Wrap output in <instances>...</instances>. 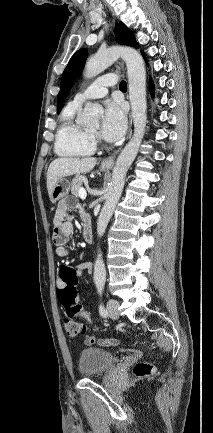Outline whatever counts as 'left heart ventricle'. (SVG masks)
Segmentation results:
<instances>
[{
	"label": "left heart ventricle",
	"instance_id": "left-heart-ventricle-1",
	"mask_svg": "<svg viewBox=\"0 0 213 433\" xmlns=\"http://www.w3.org/2000/svg\"><path fill=\"white\" fill-rule=\"evenodd\" d=\"M90 131L99 134V127L96 126V127L92 128Z\"/></svg>",
	"mask_w": 213,
	"mask_h": 433
}]
</instances>
